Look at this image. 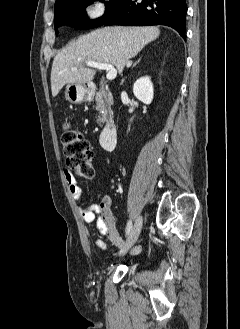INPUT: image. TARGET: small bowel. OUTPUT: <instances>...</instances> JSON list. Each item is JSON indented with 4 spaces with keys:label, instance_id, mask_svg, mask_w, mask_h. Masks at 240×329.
I'll return each mask as SVG.
<instances>
[{
    "label": "small bowel",
    "instance_id": "1",
    "mask_svg": "<svg viewBox=\"0 0 240 329\" xmlns=\"http://www.w3.org/2000/svg\"><path fill=\"white\" fill-rule=\"evenodd\" d=\"M64 179L68 185L70 194L77 200L78 207L83 221L87 224L96 222L97 232L100 235L107 236L108 239L117 247L123 248L125 243L119 235L114 215L107 201L98 203L84 204L82 203V188L69 171L64 172ZM95 246L99 250H106L107 244L104 240L98 239L95 241ZM140 247L131 249V254H138Z\"/></svg>",
    "mask_w": 240,
    "mask_h": 329
}]
</instances>
